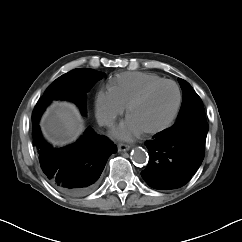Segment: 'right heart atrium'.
I'll return each mask as SVG.
<instances>
[{
  "mask_svg": "<svg viewBox=\"0 0 242 242\" xmlns=\"http://www.w3.org/2000/svg\"><path fill=\"white\" fill-rule=\"evenodd\" d=\"M96 117L100 124L111 126L124 112L125 106L110 89L100 90L95 100Z\"/></svg>",
  "mask_w": 242,
  "mask_h": 242,
  "instance_id": "1",
  "label": "right heart atrium"
}]
</instances>
